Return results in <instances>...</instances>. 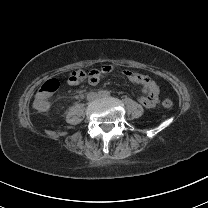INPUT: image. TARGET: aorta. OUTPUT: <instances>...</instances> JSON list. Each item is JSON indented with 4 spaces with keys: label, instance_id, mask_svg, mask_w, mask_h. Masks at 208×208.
I'll return each instance as SVG.
<instances>
[{
    "label": "aorta",
    "instance_id": "aorta-1",
    "mask_svg": "<svg viewBox=\"0 0 208 208\" xmlns=\"http://www.w3.org/2000/svg\"><path fill=\"white\" fill-rule=\"evenodd\" d=\"M101 97H102L103 99H108V98L110 97V92H109L108 90H103V91L101 92Z\"/></svg>",
    "mask_w": 208,
    "mask_h": 208
}]
</instances>
